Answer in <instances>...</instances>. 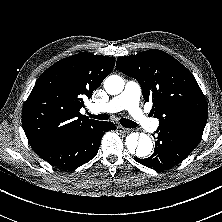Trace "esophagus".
<instances>
[{
  "mask_svg": "<svg viewBox=\"0 0 222 222\" xmlns=\"http://www.w3.org/2000/svg\"><path fill=\"white\" fill-rule=\"evenodd\" d=\"M117 130H118L119 132L125 133V134L130 133V132L132 131L131 129L125 128V127H123V126H117Z\"/></svg>",
  "mask_w": 222,
  "mask_h": 222,
  "instance_id": "34e87169",
  "label": "esophagus"
}]
</instances>
